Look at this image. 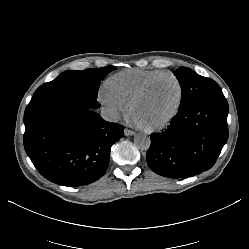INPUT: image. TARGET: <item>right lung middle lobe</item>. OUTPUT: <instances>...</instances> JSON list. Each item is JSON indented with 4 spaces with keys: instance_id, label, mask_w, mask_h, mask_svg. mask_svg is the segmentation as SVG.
<instances>
[{
    "instance_id": "dd1d6c3e",
    "label": "right lung middle lobe",
    "mask_w": 249,
    "mask_h": 249,
    "mask_svg": "<svg viewBox=\"0 0 249 249\" xmlns=\"http://www.w3.org/2000/svg\"><path fill=\"white\" fill-rule=\"evenodd\" d=\"M115 69L114 66H107L82 71H65L53 81L41 85L33 96L51 91L70 90L79 91L87 98L96 100L101 81Z\"/></svg>"
}]
</instances>
